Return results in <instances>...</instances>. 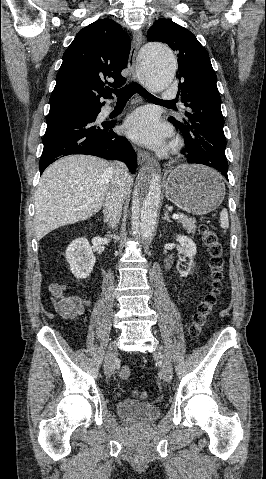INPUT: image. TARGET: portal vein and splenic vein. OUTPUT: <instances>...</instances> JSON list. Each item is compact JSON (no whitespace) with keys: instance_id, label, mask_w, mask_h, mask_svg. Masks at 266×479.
I'll return each mask as SVG.
<instances>
[{"instance_id":"obj_1","label":"portal vein and splenic vein","mask_w":266,"mask_h":479,"mask_svg":"<svg viewBox=\"0 0 266 479\" xmlns=\"http://www.w3.org/2000/svg\"><path fill=\"white\" fill-rule=\"evenodd\" d=\"M87 202H88V203H92V202H93V199H92V198H88V199H87ZM172 218H173V219H179V215H178V214H173Z\"/></svg>"}]
</instances>
